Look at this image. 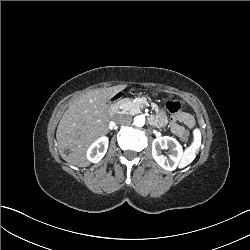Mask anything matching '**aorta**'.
Returning a JSON list of instances; mask_svg holds the SVG:
<instances>
[{
    "mask_svg": "<svg viewBox=\"0 0 250 250\" xmlns=\"http://www.w3.org/2000/svg\"><path fill=\"white\" fill-rule=\"evenodd\" d=\"M134 124L141 127L145 124V117L143 115H137L134 117Z\"/></svg>",
    "mask_w": 250,
    "mask_h": 250,
    "instance_id": "aorta-1",
    "label": "aorta"
}]
</instances>
